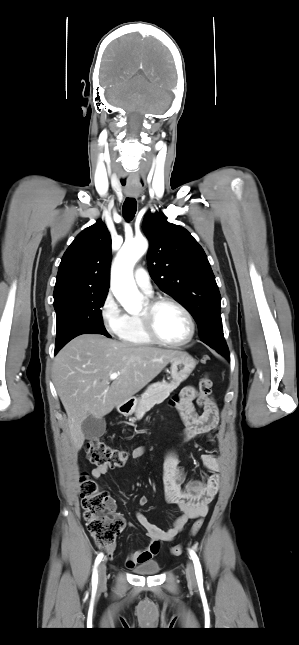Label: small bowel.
<instances>
[{
    "mask_svg": "<svg viewBox=\"0 0 299 645\" xmlns=\"http://www.w3.org/2000/svg\"><path fill=\"white\" fill-rule=\"evenodd\" d=\"M196 398V389L193 386H187L173 400V406L178 410L185 425L181 443L204 436L210 443L215 444L219 437H213L211 431L219 421L217 405L212 398H208L201 405L203 412L197 415L193 403ZM145 452L143 447L136 448L132 452V457L138 459ZM201 462L209 474H204L183 488L181 483L185 479L186 472L180 464L176 451L170 450L165 453L163 472L165 500L167 503L175 505L179 509L180 515L175 519L171 528L164 530L151 523L142 512L137 511L135 517L146 530L149 543L144 549L134 550L127 556L125 559L127 568H134L137 564L153 559L159 553L163 542L173 541L190 520L204 517L208 513L209 504L219 489L218 472L221 463L219 457L212 452L202 454ZM109 469L110 467L107 465H98L92 470V477L99 479ZM138 502L141 506H145L148 503V498L141 496ZM112 552L113 549H110L109 556Z\"/></svg>",
    "mask_w": 299,
    "mask_h": 645,
    "instance_id": "c3829d8e",
    "label": "small bowel"
}]
</instances>
